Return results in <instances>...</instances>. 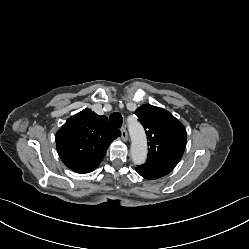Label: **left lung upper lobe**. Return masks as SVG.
Listing matches in <instances>:
<instances>
[{"mask_svg": "<svg viewBox=\"0 0 249 249\" xmlns=\"http://www.w3.org/2000/svg\"><path fill=\"white\" fill-rule=\"evenodd\" d=\"M148 140V158L138 168L160 178L171 172L180 161L186 146V129L168 111L144 104L136 111Z\"/></svg>", "mask_w": 249, "mask_h": 249, "instance_id": "obj_1", "label": "left lung upper lobe"}]
</instances>
